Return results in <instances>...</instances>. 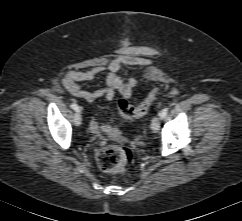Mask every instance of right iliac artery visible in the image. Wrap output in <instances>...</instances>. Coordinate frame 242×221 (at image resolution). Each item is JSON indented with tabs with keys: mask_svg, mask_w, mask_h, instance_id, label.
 Returning a JSON list of instances; mask_svg holds the SVG:
<instances>
[{
	"mask_svg": "<svg viewBox=\"0 0 242 221\" xmlns=\"http://www.w3.org/2000/svg\"><path fill=\"white\" fill-rule=\"evenodd\" d=\"M71 107H72V109L75 110L76 112H80V108H79V106H78L77 104L72 103V104H71Z\"/></svg>",
	"mask_w": 242,
	"mask_h": 221,
	"instance_id": "right-iliac-artery-1",
	"label": "right iliac artery"
}]
</instances>
